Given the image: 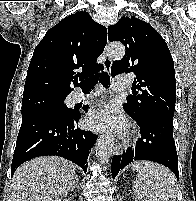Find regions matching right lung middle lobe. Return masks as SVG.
I'll return each instance as SVG.
<instances>
[{"mask_svg": "<svg viewBox=\"0 0 196 201\" xmlns=\"http://www.w3.org/2000/svg\"><path fill=\"white\" fill-rule=\"evenodd\" d=\"M66 96L38 94L22 100V116L32 113H48L68 118L73 111L65 104Z\"/></svg>", "mask_w": 196, "mask_h": 201, "instance_id": "obj_1", "label": "right lung middle lobe"}]
</instances>
